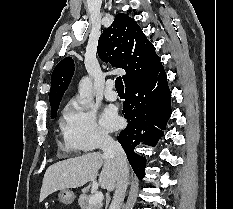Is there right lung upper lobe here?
<instances>
[{
	"label": "right lung upper lobe",
	"mask_w": 233,
	"mask_h": 209,
	"mask_svg": "<svg viewBox=\"0 0 233 209\" xmlns=\"http://www.w3.org/2000/svg\"><path fill=\"white\" fill-rule=\"evenodd\" d=\"M97 52L102 61L126 71L123 76L126 88L148 77L161 65L153 44L138 24L123 13L117 14L111 26L101 34ZM73 74L71 57L64 58L54 68L49 93L51 111L58 109Z\"/></svg>",
	"instance_id": "1"
}]
</instances>
